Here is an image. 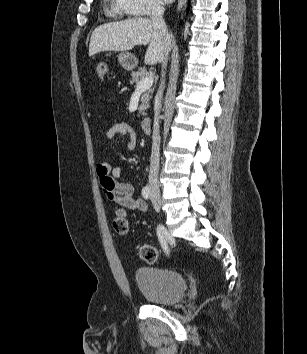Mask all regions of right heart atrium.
<instances>
[{"label":"right heart atrium","instance_id":"right-heart-atrium-1","mask_svg":"<svg viewBox=\"0 0 307 354\" xmlns=\"http://www.w3.org/2000/svg\"><path fill=\"white\" fill-rule=\"evenodd\" d=\"M130 14L150 15L162 9L161 0H121Z\"/></svg>","mask_w":307,"mask_h":354}]
</instances>
